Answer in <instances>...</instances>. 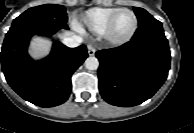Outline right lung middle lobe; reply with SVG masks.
<instances>
[{"mask_svg":"<svg viewBox=\"0 0 194 133\" xmlns=\"http://www.w3.org/2000/svg\"><path fill=\"white\" fill-rule=\"evenodd\" d=\"M57 19L67 22L66 9L62 5L45 4L32 7L14 19L13 24L26 20Z\"/></svg>","mask_w":194,"mask_h":133,"instance_id":"obj_1","label":"right lung middle lobe"}]
</instances>
